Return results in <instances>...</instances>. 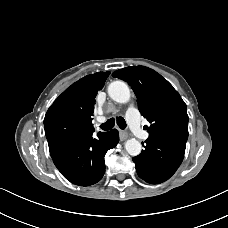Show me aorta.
Segmentation results:
<instances>
[{"label":"aorta","instance_id":"762f6f07","mask_svg":"<svg viewBox=\"0 0 228 228\" xmlns=\"http://www.w3.org/2000/svg\"><path fill=\"white\" fill-rule=\"evenodd\" d=\"M109 96L118 103H127L130 100V90L123 81H114L108 86ZM125 149L131 156H138L141 153V143L136 139L127 140Z\"/></svg>","mask_w":228,"mask_h":228}]
</instances>
